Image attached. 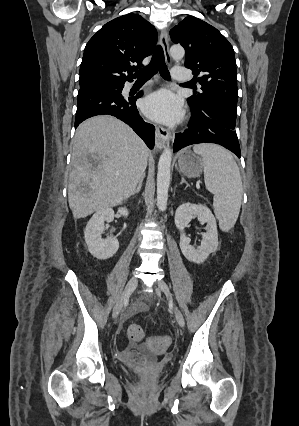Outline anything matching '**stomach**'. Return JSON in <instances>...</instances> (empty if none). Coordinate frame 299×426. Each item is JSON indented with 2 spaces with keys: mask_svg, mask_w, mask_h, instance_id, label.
Masks as SVG:
<instances>
[{
  "mask_svg": "<svg viewBox=\"0 0 299 426\" xmlns=\"http://www.w3.org/2000/svg\"><path fill=\"white\" fill-rule=\"evenodd\" d=\"M180 171L187 177H198L204 169V162L200 155L190 149L183 150L178 157Z\"/></svg>",
  "mask_w": 299,
  "mask_h": 426,
  "instance_id": "0dacf381",
  "label": "stomach"
}]
</instances>
